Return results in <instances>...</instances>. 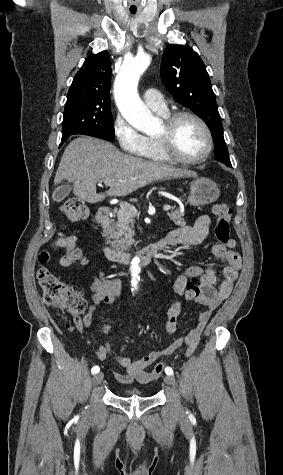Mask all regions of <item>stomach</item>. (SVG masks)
Segmentation results:
<instances>
[{"label": "stomach", "instance_id": "0dacf381", "mask_svg": "<svg viewBox=\"0 0 283 475\" xmlns=\"http://www.w3.org/2000/svg\"><path fill=\"white\" fill-rule=\"evenodd\" d=\"M220 196V190L212 180L208 178H195L190 184L188 204L191 206H206L216 202Z\"/></svg>", "mask_w": 283, "mask_h": 475}]
</instances>
